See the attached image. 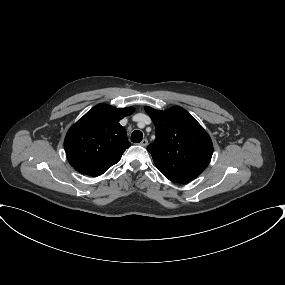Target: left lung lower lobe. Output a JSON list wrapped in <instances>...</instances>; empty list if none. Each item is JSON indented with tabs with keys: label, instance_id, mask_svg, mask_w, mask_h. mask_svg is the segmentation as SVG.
<instances>
[{
	"label": "left lung lower lobe",
	"instance_id": "0a47b994",
	"mask_svg": "<svg viewBox=\"0 0 285 285\" xmlns=\"http://www.w3.org/2000/svg\"><path fill=\"white\" fill-rule=\"evenodd\" d=\"M162 174L168 178L170 181L175 182V183H188L189 181H191L192 179L190 178H186V177H182V176H178V175H173V174H166L163 173Z\"/></svg>",
	"mask_w": 285,
	"mask_h": 285
}]
</instances>
